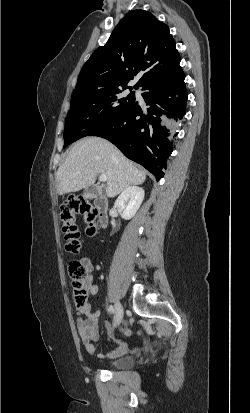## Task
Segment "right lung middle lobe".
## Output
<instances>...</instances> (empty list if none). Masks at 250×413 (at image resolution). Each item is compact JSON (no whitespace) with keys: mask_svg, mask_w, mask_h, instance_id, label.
Wrapping results in <instances>:
<instances>
[{"mask_svg":"<svg viewBox=\"0 0 250 413\" xmlns=\"http://www.w3.org/2000/svg\"><path fill=\"white\" fill-rule=\"evenodd\" d=\"M124 88L86 91L72 95L64 130V148L110 122L135 101V93ZM132 90V87H129Z\"/></svg>","mask_w":250,"mask_h":413,"instance_id":"dd1d6c3e","label":"right lung middle lobe"}]
</instances>
